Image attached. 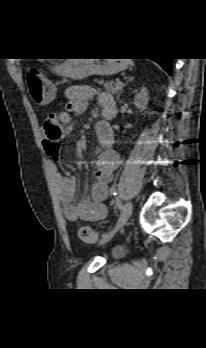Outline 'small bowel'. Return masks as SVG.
<instances>
[{
	"label": "small bowel",
	"mask_w": 206,
	"mask_h": 348,
	"mask_svg": "<svg viewBox=\"0 0 206 348\" xmlns=\"http://www.w3.org/2000/svg\"><path fill=\"white\" fill-rule=\"evenodd\" d=\"M67 103L57 113L50 115L45 122L42 147L47 157L53 184L62 203L65 218L70 222L78 220L97 221L104 219L107 209L104 201L108 195V187L112 181L114 171L120 164V158L114 150H104L97 162L95 181L91 188L89 200L75 202L77 179L74 175L62 171L58 166L62 139L71 127V115L85 110L88 101L96 98L104 109L115 106L111 94L93 89L88 85H71L65 89ZM105 127L112 135L111 127L105 121L98 122L96 129L99 133Z\"/></svg>",
	"instance_id": "small-bowel-1"
}]
</instances>
